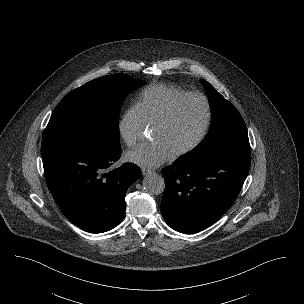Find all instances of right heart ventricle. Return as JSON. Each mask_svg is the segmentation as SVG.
I'll use <instances>...</instances> for the list:
<instances>
[{
  "mask_svg": "<svg viewBox=\"0 0 304 304\" xmlns=\"http://www.w3.org/2000/svg\"><path fill=\"white\" fill-rule=\"evenodd\" d=\"M189 93L187 90L168 84H153L143 89L135 104L147 126H152L177 98Z\"/></svg>",
  "mask_w": 304,
  "mask_h": 304,
  "instance_id": "1",
  "label": "right heart ventricle"
}]
</instances>
